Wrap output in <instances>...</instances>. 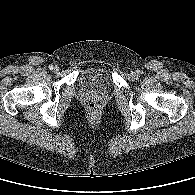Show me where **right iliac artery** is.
I'll return each mask as SVG.
<instances>
[{"label":"right iliac artery","mask_w":195,"mask_h":195,"mask_svg":"<svg viewBox=\"0 0 195 195\" xmlns=\"http://www.w3.org/2000/svg\"><path fill=\"white\" fill-rule=\"evenodd\" d=\"M49 69H50V70H53V69H54V66H53V65H50V66H49Z\"/></svg>","instance_id":"obj_1"}]
</instances>
